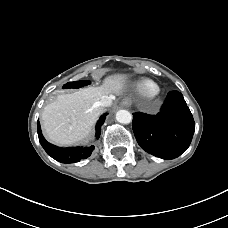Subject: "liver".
<instances>
[{
  "mask_svg": "<svg viewBox=\"0 0 228 228\" xmlns=\"http://www.w3.org/2000/svg\"><path fill=\"white\" fill-rule=\"evenodd\" d=\"M125 79L120 75L107 77L97 87H87L57 96L45 106L42 126L46 137L59 145H70L89 136L102 112L97 102L107 96L122 93Z\"/></svg>",
  "mask_w": 228,
  "mask_h": 228,
  "instance_id": "liver-1",
  "label": "liver"
}]
</instances>
